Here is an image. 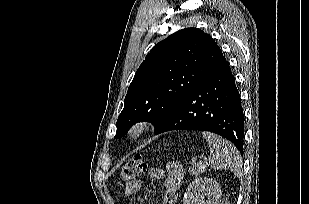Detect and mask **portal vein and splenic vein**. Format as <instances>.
<instances>
[{"label":"portal vein and splenic vein","mask_w":309,"mask_h":204,"mask_svg":"<svg viewBox=\"0 0 309 204\" xmlns=\"http://www.w3.org/2000/svg\"><path fill=\"white\" fill-rule=\"evenodd\" d=\"M199 164H200V166H201L202 168H206V165H205V163H203V162H200Z\"/></svg>","instance_id":"1"}]
</instances>
